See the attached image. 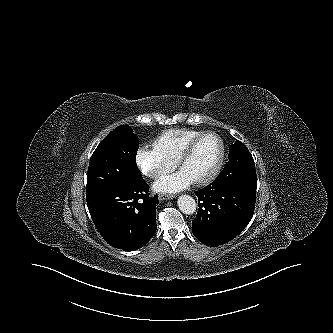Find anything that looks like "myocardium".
I'll return each mask as SVG.
<instances>
[{
  "instance_id": "f54148a6",
  "label": "myocardium",
  "mask_w": 333,
  "mask_h": 333,
  "mask_svg": "<svg viewBox=\"0 0 333 333\" xmlns=\"http://www.w3.org/2000/svg\"><path fill=\"white\" fill-rule=\"evenodd\" d=\"M208 136H213L215 137L220 145V153H219V157L214 165V167L212 168V170L203 178L193 181L194 184L202 186V185H206L209 184L210 182H212L217 175L219 174L222 165L224 163V159H225V145L223 140L221 139V137L216 134L215 132H203L200 135H198L197 137H195L194 139H192L187 145L186 147L183 149V151L181 152V154L179 155L178 159H177V166L179 168H181L182 164L190 157V155L193 153L194 149L196 148V146L198 145V143L204 139L205 137Z\"/></svg>"
}]
</instances>
